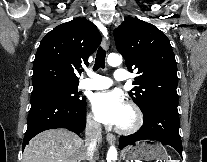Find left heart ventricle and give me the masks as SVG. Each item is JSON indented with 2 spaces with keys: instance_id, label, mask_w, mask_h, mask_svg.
Listing matches in <instances>:
<instances>
[{
  "instance_id": "left-heart-ventricle-1",
  "label": "left heart ventricle",
  "mask_w": 207,
  "mask_h": 162,
  "mask_svg": "<svg viewBox=\"0 0 207 162\" xmlns=\"http://www.w3.org/2000/svg\"><path fill=\"white\" fill-rule=\"evenodd\" d=\"M133 116L131 110L126 106L118 126H128L132 122Z\"/></svg>"
}]
</instances>
